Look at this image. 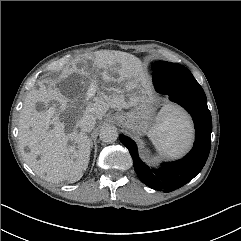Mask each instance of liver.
<instances>
[{"mask_svg": "<svg viewBox=\"0 0 241 241\" xmlns=\"http://www.w3.org/2000/svg\"><path fill=\"white\" fill-rule=\"evenodd\" d=\"M92 61L93 68L89 73L85 68L78 69L76 65L66 68L49 88L41 83L38 89L29 92L24 101L18 127L20 148L29 166L47 181L74 183L86 171L91 141L84 131L78 130L84 114H93L101 120L109 108L121 110L133 107L141 97L138 83L145 86V81L139 76L141 61L137 57L120 51H100ZM109 70L119 77L115 78ZM74 73L89 81L80 80L81 93L70 99L61 93L56 84H71ZM132 78L135 80L131 81ZM115 83L118 86H113ZM82 95L85 99L76 107ZM52 100L59 103L61 110H74L75 125L71 133H65V124L61 122L59 113L51 119L46 112L36 109L37 102L48 106ZM69 141H74V144L69 146ZM26 147L28 152H24Z\"/></svg>", "mask_w": 241, "mask_h": 241, "instance_id": "6515ba94", "label": "liver"}]
</instances>
